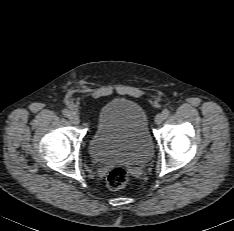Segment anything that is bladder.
<instances>
[{
  "instance_id": "obj_1",
  "label": "bladder",
  "mask_w": 234,
  "mask_h": 231,
  "mask_svg": "<svg viewBox=\"0 0 234 231\" xmlns=\"http://www.w3.org/2000/svg\"><path fill=\"white\" fill-rule=\"evenodd\" d=\"M88 152L94 161L103 164L147 162L153 142L142 106L127 98L107 102L100 109Z\"/></svg>"
}]
</instances>
